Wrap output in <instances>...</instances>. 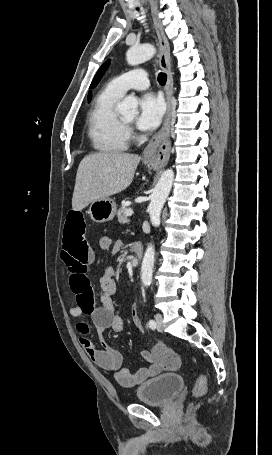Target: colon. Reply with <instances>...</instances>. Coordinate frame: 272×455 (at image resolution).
Returning a JSON list of instances; mask_svg holds the SVG:
<instances>
[{
	"label": "colon",
	"instance_id": "colon-1",
	"mask_svg": "<svg viewBox=\"0 0 272 455\" xmlns=\"http://www.w3.org/2000/svg\"><path fill=\"white\" fill-rule=\"evenodd\" d=\"M98 245L102 251H108L111 246V239L107 235H102L98 240ZM151 358L160 366L167 370H177L181 365L178 354L165 345H156L151 351ZM207 390V379L204 374H200L195 382L193 394L196 397L203 396Z\"/></svg>",
	"mask_w": 272,
	"mask_h": 455
}]
</instances>
